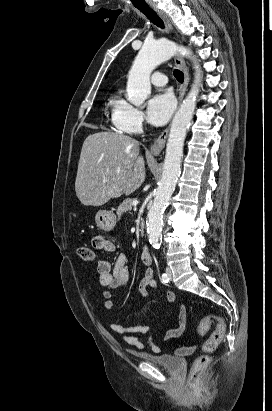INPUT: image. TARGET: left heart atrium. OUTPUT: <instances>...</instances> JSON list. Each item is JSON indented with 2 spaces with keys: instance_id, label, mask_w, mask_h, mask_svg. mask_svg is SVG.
I'll list each match as a JSON object with an SVG mask.
<instances>
[{
  "instance_id": "left-heart-atrium-1",
  "label": "left heart atrium",
  "mask_w": 272,
  "mask_h": 411,
  "mask_svg": "<svg viewBox=\"0 0 272 411\" xmlns=\"http://www.w3.org/2000/svg\"><path fill=\"white\" fill-rule=\"evenodd\" d=\"M174 107L175 101L169 92L154 95L147 104L149 121L156 126L165 124L172 115Z\"/></svg>"
}]
</instances>
